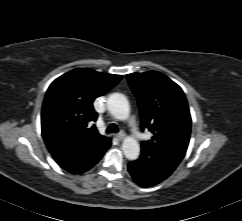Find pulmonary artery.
Segmentation results:
<instances>
[{"mask_svg": "<svg viewBox=\"0 0 242 221\" xmlns=\"http://www.w3.org/2000/svg\"><path fill=\"white\" fill-rule=\"evenodd\" d=\"M129 126L134 134V136L137 139H142L144 137V135L140 132V130L137 128L136 123L133 119L129 120Z\"/></svg>", "mask_w": 242, "mask_h": 221, "instance_id": "obj_1", "label": "pulmonary artery"}]
</instances>
